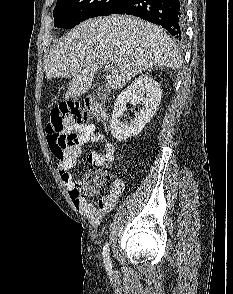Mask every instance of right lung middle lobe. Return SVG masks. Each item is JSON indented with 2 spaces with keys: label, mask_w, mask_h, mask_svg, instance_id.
Returning <instances> with one entry per match:
<instances>
[{
  "label": "right lung middle lobe",
  "mask_w": 233,
  "mask_h": 294,
  "mask_svg": "<svg viewBox=\"0 0 233 294\" xmlns=\"http://www.w3.org/2000/svg\"><path fill=\"white\" fill-rule=\"evenodd\" d=\"M123 0H57L54 27L70 29L97 16L110 15Z\"/></svg>",
  "instance_id": "dd1d6c3e"
}]
</instances>
